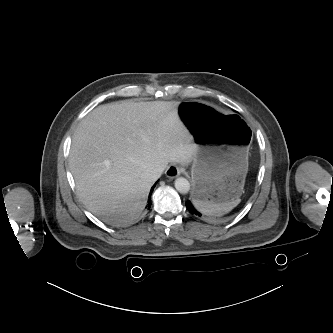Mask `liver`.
<instances>
[{"instance_id":"1","label":"liver","mask_w":333,"mask_h":333,"mask_svg":"<svg viewBox=\"0 0 333 333\" xmlns=\"http://www.w3.org/2000/svg\"><path fill=\"white\" fill-rule=\"evenodd\" d=\"M179 102L101 105L78 125L69 156L78 195L107 223L129 224L147 204L155 179L148 169L188 165L197 145L178 114Z\"/></svg>"}]
</instances>
